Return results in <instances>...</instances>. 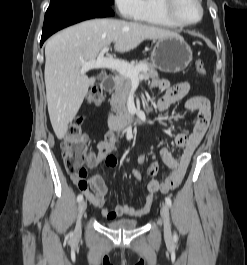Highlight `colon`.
<instances>
[{
  "label": "colon",
  "instance_id": "colon-1",
  "mask_svg": "<svg viewBox=\"0 0 247 265\" xmlns=\"http://www.w3.org/2000/svg\"><path fill=\"white\" fill-rule=\"evenodd\" d=\"M195 71L198 75H205L206 68L202 61L195 63ZM104 100L103 90L100 86H94L88 96L87 101L90 104L100 105ZM88 135L82 130V120L74 119L62 140V155L64 165L68 173L73 175L86 176V169L83 167L88 156Z\"/></svg>",
  "mask_w": 247,
  "mask_h": 265
}]
</instances>
